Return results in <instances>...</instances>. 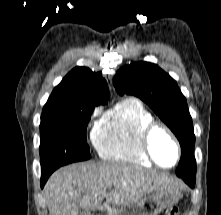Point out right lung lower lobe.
Masks as SVG:
<instances>
[{"instance_id":"98d812e1","label":"right lung lower lobe","mask_w":221,"mask_h":215,"mask_svg":"<svg viewBox=\"0 0 221 215\" xmlns=\"http://www.w3.org/2000/svg\"><path fill=\"white\" fill-rule=\"evenodd\" d=\"M53 171H55V170L42 172V175H41V188L44 187V184L46 183L49 176L53 173Z\"/></svg>"}]
</instances>
